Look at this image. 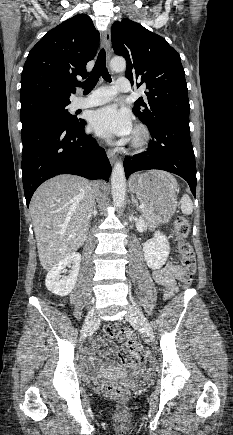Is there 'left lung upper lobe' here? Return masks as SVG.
<instances>
[{
    "label": "left lung upper lobe",
    "mask_w": 233,
    "mask_h": 435,
    "mask_svg": "<svg viewBox=\"0 0 233 435\" xmlns=\"http://www.w3.org/2000/svg\"><path fill=\"white\" fill-rule=\"evenodd\" d=\"M115 54L126 59L125 76L137 87L146 86L147 98H139L133 113L147 127L189 122L190 105L180 55L161 36L124 18L111 28Z\"/></svg>",
    "instance_id": "5c2ea615"
}]
</instances>
